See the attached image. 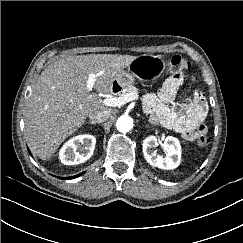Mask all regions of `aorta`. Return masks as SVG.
Returning <instances> with one entry per match:
<instances>
[{"label": "aorta", "instance_id": "762f6f07", "mask_svg": "<svg viewBox=\"0 0 243 243\" xmlns=\"http://www.w3.org/2000/svg\"><path fill=\"white\" fill-rule=\"evenodd\" d=\"M116 127L120 132H128L133 127V119L129 116L122 115L117 119Z\"/></svg>", "mask_w": 243, "mask_h": 243}]
</instances>
